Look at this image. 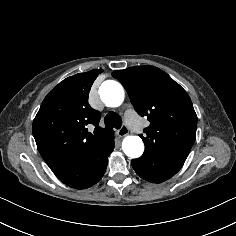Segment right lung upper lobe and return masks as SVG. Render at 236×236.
<instances>
[{
	"label": "right lung upper lobe",
	"instance_id": "1",
	"mask_svg": "<svg viewBox=\"0 0 236 236\" xmlns=\"http://www.w3.org/2000/svg\"><path fill=\"white\" fill-rule=\"evenodd\" d=\"M94 69L64 79L45 97L33 121L37 148L51 170L85 162L104 147L113 131L100 128V113L88 104V94L96 77ZM95 126L94 133L87 125Z\"/></svg>",
	"mask_w": 236,
	"mask_h": 236
}]
</instances>
